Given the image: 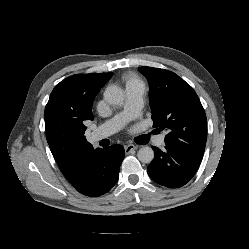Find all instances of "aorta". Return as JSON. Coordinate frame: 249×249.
<instances>
[{
  "instance_id": "aorta-1",
  "label": "aorta",
  "mask_w": 249,
  "mask_h": 249,
  "mask_svg": "<svg viewBox=\"0 0 249 249\" xmlns=\"http://www.w3.org/2000/svg\"><path fill=\"white\" fill-rule=\"evenodd\" d=\"M105 100L113 105H119L124 101V91L118 86H109L104 92ZM138 159L142 163H150L154 158V151L149 146H144L137 153Z\"/></svg>"
}]
</instances>
